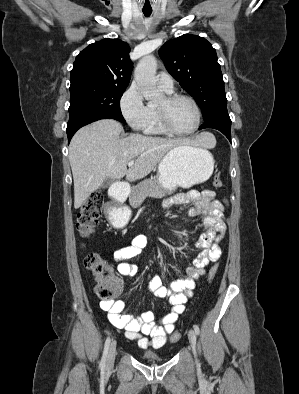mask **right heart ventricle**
Returning <instances> with one entry per match:
<instances>
[{
  "label": "right heart ventricle",
  "mask_w": 299,
  "mask_h": 394,
  "mask_svg": "<svg viewBox=\"0 0 299 394\" xmlns=\"http://www.w3.org/2000/svg\"><path fill=\"white\" fill-rule=\"evenodd\" d=\"M162 91L165 94H172L173 93V89L172 90L162 89ZM149 108H150V118L144 128L145 133L150 134V135L166 134V132L163 130V128L161 127V125L159 123L156 106L153 104H150Z\"/></svg>",
  "instance_id": "e07e8e85"
}]
</instances>
